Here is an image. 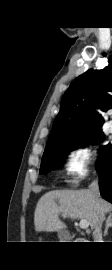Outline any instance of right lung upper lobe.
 Returning a JSON list of instances; mask_svg holds the SVG:
<instances>
[{
    "instance_id": "right-lung-upper-lobe-1",
    "label": "right lung upper lobe",
    "mask_w": 112,
    "mask_h": 270,
    "mask_svg": "<svg viewBox=\"0 0 112 270\" xmlns=\"http://www.w3.org/2000/svg\"><path fill=\"white\" fill-rule=\"evenodd\" d=\"M112 109V56L102 70H88L77 77L65 92L47 145L65 143L100 129L96 110ZM98 119V121H97Z\"/></svg>"
}]
</instances>
